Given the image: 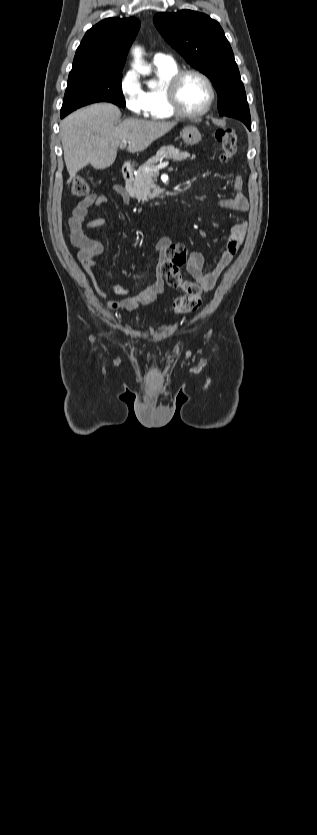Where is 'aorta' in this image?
I'll return each mask as SVG.
<instances>
[{
	"instance_id": "762f6f07",
	"label": "aorta",
	"mask_w": 317,
	"mask_h": 835,
	"mask_svg": "<svg viewBox=\"0 0 317 835\" xmlns=\"http://www.w3.org/2000/svg\"><path fill=\"white\" fill-rule=\"evenodd\" d=\"M134 57H135V59H134V64H133V67H134L136 70H138V71H139L142 75H147V74H149L151 69H150V67L145 66V65L143 64V61H142V51H141V49H135V50H134ZM147 85H148L149 87H155V86H156V82L152 80V81H149V82L147 83Z\"/></svg>"
}]
</instances>
